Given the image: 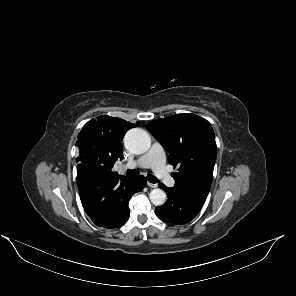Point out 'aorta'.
Instances as JSON below:
<instances>
[{
  "mask_svg": "<svg viewBox=\"0 0 296 296\" xmlns=\"http://www.w3.org/2000/svg\"><path fill=\"white\" fill-rule=\"evenodd\" d=\"M124 145L133 154H143L150 148L151 139L143 129L133 128L126 133ZM149 198L155 206H161L166 201V193L159 188L153 189L149 194Z\"/></svg>",
  "mask_w": 296,
  "mask_h": 296,
  "instance_id": "obj_1",
  "label": "aorta"
}]
</instances>
